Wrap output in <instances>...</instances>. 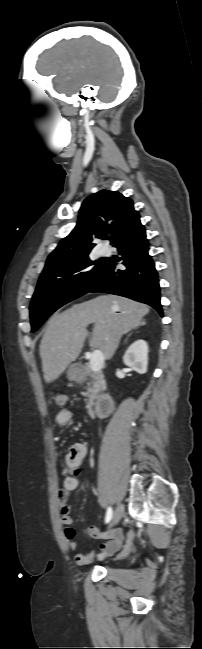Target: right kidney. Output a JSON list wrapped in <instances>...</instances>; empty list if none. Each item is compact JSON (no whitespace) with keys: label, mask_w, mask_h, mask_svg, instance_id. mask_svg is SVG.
<instances>
[{"label":"right kidney","mask_w":202,"mask_h":649,"mask_svg":"<svg viewBox=\"0 0 202 649\" xmlns=\"http://www.w3.org/2000/svg\"><path fill=\"white\" fill-rule=\"evenodd\" d=\"M123 362L139 374L147 372L148 345L144 340L132 343L123 356Z\"/></svg>","instance_id":"obj_1"}]
</instances>
